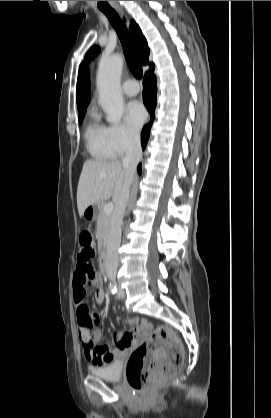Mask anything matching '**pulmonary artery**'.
<instances>
[{"instance_id":"e3ab8cb5","label":"pulmonary artery","mask_w":271,"mask_h":418,"mask_svg":"<svg viewBox=\"0 0 271 418\" xmlns=\"http://www.w3.org/2000/svg\"><path fill=\"white\" fill-rule=\"evenodd\" d=\"M122 90L127 96H135L139 93V85L136 81L129 79L123 83Z\"/></svg>"}]
</instances>
